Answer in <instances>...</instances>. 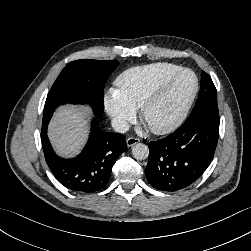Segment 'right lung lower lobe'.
I'll use <instances>...</instances> for the list:
<instances>
[{
    "label": "right lung lower lobe",
    "mask_w": 251,
    "mask_h": 251,
    "mask_svg": "<svg viewBox=\"0 0 251 251\" xmlns=\"http://www.w3.org/2000/svg\"><path fill=\"white\" fill-rule=\"evenodd\" d=\"M53 112L43 115L41 141L46 163L55 178L73 192L92 193L104 188L117 158L127 151L125 136L101 131L97 121L99 116L95 115L85 148L76 158L64 159L54 152L47 136Z\"/></svg>",
    "instance_id": "98d812e1"
}]
</instances>
